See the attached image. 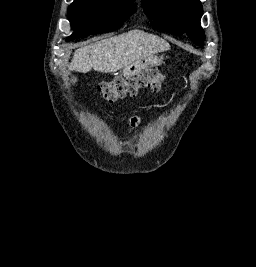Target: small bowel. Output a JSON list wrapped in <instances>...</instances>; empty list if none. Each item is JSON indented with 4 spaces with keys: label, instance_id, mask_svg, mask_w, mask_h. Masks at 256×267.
Masks as SVG:
<instances>
[{
    "label": "small bowel",
    "instance_id": "obj_1",
    "mask_svg": "<svg viewBox=\"0 0 256 267\" xmlns=\"http://www.w3.org/2000/svg\"><path fill=\"white\" fill-rule=\"evenodd\" d=\"M140 123H141V119L137 116H134L128 119V124L131 127H137Z\"/></svg>",
    "mask_w": 256,
    "mask_h": 267
}]
</instances>
